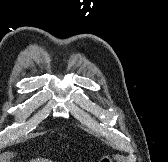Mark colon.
Returning a JSON list of instances; mask_svg holds the SVG:
<instances>
[{"label":"colon","instance_id":"obj_1","mask_svg":"<svg viewBox=\"0 0 168 162\" xmlns=\"http://www.w3.org/2000/svg\"><path fill=\"white\" fill-rule=\"evenodd\" d=\"M98 162H113L110 155H103Z\"/></svg>","mask_w":168,"mask_h":162}]
</instances>
